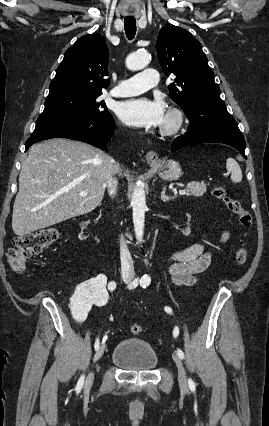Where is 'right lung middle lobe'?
Here are the masks:
<instances>
[{
    "label": "right lung middle lobe",
    "mask_w": 269,
    "mask_h": 426,
    "mask_svg": "<svg viewBox=\"0 0 269 426\" xmlns=\"http://www.w3.org/2000/svg\"><path fill=\"white\" fill-rule=\"evenodd\" d=\"M101 94L102 92L81 90L50 92L45 101L44 111L37 119L35 130L30 137L108 115L105 102L98 100Z\"/></svg>",
    "instance_id": "1"
}]
</instances>
